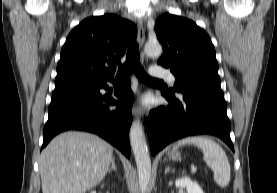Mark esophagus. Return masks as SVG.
Segmentation results:
<instances>
[{"label":"esophagus","instance_id":"1","mask_svg":"<svg viewBox=\"0 0 277 193\" xmlns=\"http://www.w3.org/2000/svg\"><path fill=\"white\" fill-rule=\"evenodd\" d=\"M137 29H138V40L141 46H143L144 41H145V30L143 28V24L141 22V20H137ZM144 109L143 107L140 105V103L137 101L135 102L134 106H133V114L134 115H140L143 116L144 115Z\"/></svg>","mask_w":277,"mask_h":193}]
</instances>
